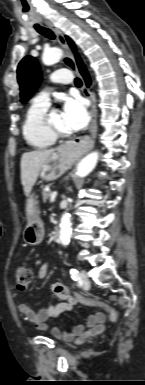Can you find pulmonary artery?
<instances>
[{"mask_svg": "<svg viewBox=\"0 0 145 385\" xmlns=\"http://www.w3.org/2000/svg\"><path fill=\"white\" fill-rule=\"evenodd\" d=\"M51 78L53 81H55L57 83H62V84H67V83H70L72 81V75L65 69H60V70L54 71L51 74ZM49 95H50L49 91H43L35 97L34 101L39 103V104L49 106V104H50Z\"/></svg>", "mask_w": 145, "mask_h": 385, "instance_id": "1", "label": "pulmonary artery"}]
</instances>
